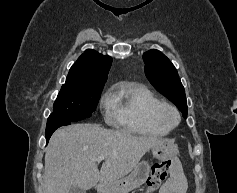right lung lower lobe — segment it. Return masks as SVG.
Segmentation results:
<instances>
[{
    "label": "right lung lower lobe",
    "instance_id": "98d812e1",
    "mask_svg": "<svg viewBox=\"0 0 237 193\" xmlns=\"http://www.w3.org/2000/svg\"><path fill=\"white\" fill-rule=\"evenodd\" d=\"M70 122L71 121H68L66 119H62L59 117H49L47 121V126H46V141L47 142L49 141L51 135L57 128L61 126L69 125Z\"/></svg>",
    "mask_w": 237,
    "mask_h": 193
}]
</instances>
